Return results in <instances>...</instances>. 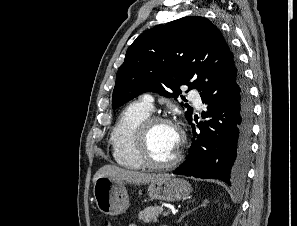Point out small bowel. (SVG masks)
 <instances>
[{"instance_id":"c3829d8e","label":"small bowel","mask_w":297,"mask_h":226,"mask_svg":"<svg viewBox=\"0 0 297 226\" xmlns=\"http://www.w3.org/2000/svg\"><path fill=\"white\" fill-rule=\"evenodd\" d=\"M129 226H136L135 224H130Z\"/></svg>"}]
</instances>
